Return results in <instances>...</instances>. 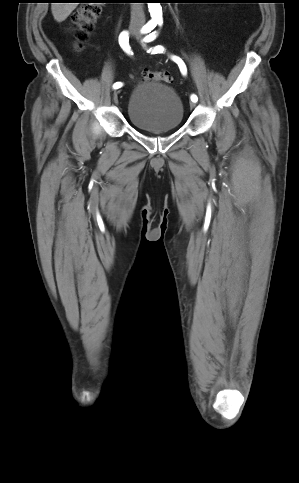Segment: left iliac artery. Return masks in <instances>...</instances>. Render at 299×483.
Wrapping results in <instances>:
<instances>
[{
  "instance_id": "1",
  "label": "left iliac artery",
  "mask_w": 299,
  "mask_h": 483,
  "mask_svg": "<svg viewBox=\"0 0 299 483\" xmlns=\"http://www.w3.org/2000/svg\"><path fill=\"white\" fill-rule=\"evenodd\" d=\"M156 36H157V34H156L155 32H153V33H151V34L147 35V36H146V37L143 39V41H144V42H151V41H153V40L156 38ZM164 50H165V49H164V47H163V46H161V45H157V46H155L154 48H150V49L148 50V52H149V53H151V54H157V53H163V52H164ZM172 59H173V60H174V61H175V62L178 64V66H179V69H180L181 73H182L183 75H186V73H187V68H186V65H185V63L183 62V60H182L181 58H179L178 56H172ZM191 101H193V102H197V101H198V97H197L195 94L191 95Z\"/></svg>"
}]
</instances>
